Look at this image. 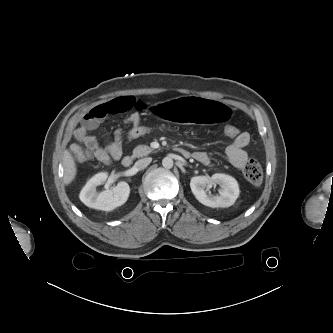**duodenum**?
<instances>
[{"label":"duodenum","instance_id":"duodenum-1","mask_svg":"<svg viewBox=\"0 0 333 333\" xmlns=\"http://www.w3.org/2000/svg\"><path fill=\"white\" fill-rule=\"evenodd\" d=\"M178 150L185 156L189 155V153L184 149L179 148ZM132 162H133V158L131 156H126L122 159V165L124 167H129L132 164Z\"/></svg>","mask_w":333,"mask_h":333}]
</instances>
